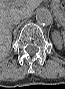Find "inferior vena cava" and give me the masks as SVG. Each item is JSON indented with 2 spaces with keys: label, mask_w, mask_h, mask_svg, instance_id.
Here are the masks:
<instances>
[{
  "label": "inferior vena cava",
  "mask_w": 65,
  "mask_h": 89,
  "mask_svg": "<svg viewBox=\"0 0 65 89\" xmlns=\"http://www.w3.org/2000/svg\"><path fill=\"white\" fill-rule=\"evenodd\" d=\"M25 18L24 16H20L18 18H15L13 21H12V25H16L21 19Z\"/></svg>",
  "instance_id": "602c4592"
}]
</instances>
